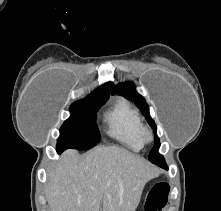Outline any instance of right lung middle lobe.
<instances>
[{
  "label": "right lung middle lobe",
  "instance_id": "dd1d6c3e",
  "mask_svg": "<svg viewBox=\"0 0 221 211\" xmlns=\"http://www.w3.org/2000/svg\"><path fill=\"white\" fill-rule=\"evenodd\" d=\"M108 98L109 96L86 98L71 105V116L60 128V137L57 141L58 153L68 148L88 150L100 141L95 121L96 112Z\"/></svg>",
  "mask_w": 221,
  "mask_h": 211
}]
</instances>
